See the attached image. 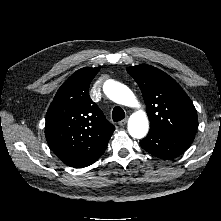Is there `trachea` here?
<instances>
[{"mask_svg": "<svg viewBox=\"0 0 221 221\" xmlns=\"http://www.w3.org/2000/svg\"><path fill=\"white\" fill-rule=\"evenodd\" d=\"M112 118L114 122L121 121L125 118V112L121 107H115L112 111Z\"/></svg>", "mask_w": 221, "mask_h": 221, "instance_id": "trachea-1", "label": "trachea"}]
</instances>
